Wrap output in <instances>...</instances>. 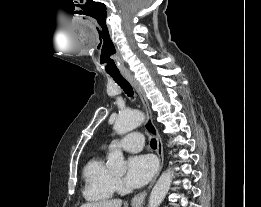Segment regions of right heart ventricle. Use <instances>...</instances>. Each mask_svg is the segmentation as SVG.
<instances>
[{"label": "right heart ventricle", "mask_w": 261, "mask_h": 207, "mask_svg": "<svg viewBox=\"0 0 261 207\" xmlns=\"http://www.w3.org/2000/svg\"><path fill=\"white\" fill-rule=\"evenodd\" d=\"M83 177L85 181L83 195L86 200L105 201L113 196L116 178L102 156L93 157L87 162Z\"/></svg>", "instance_id": "e07e8e85"}]
</instances>
